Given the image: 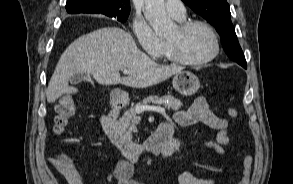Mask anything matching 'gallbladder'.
Returning a JSON list of instances; mask_svg holds the SVG:
<instances>
[{"mask_svg":"<svg viewBox=\"0 0 293 184\" xmlns=\"http://www.w3.org/2000/svg\"><path fill=\"white\" fill-rule=\"evenodd\" d=\"M82 81L92 82V78L90 77L89 74L77 73V74L73 75L72 78L70 79V83L73 85H76Z\"/></svg>","mask_w":293,"mask_h":184,"instance_id":"gallbladder-1","label":"gallbladder"}]
</instances>
